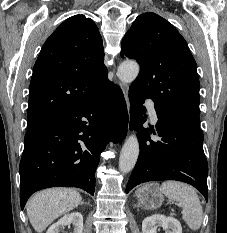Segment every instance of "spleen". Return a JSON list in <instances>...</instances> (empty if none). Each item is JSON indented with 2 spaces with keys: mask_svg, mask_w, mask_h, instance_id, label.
Here are the masks:
<instances>
[{
  "mask_svg": "<svg viewBox=\"0 0 227 233\" xmlns=\"http://www.w3.org/2000/svg\"><path fill=\"white\" fill-rule=\"evenodd\" d=\"M159 191L169 200L179 202L182 205L183 219L190 229L196 231L203 220V209L196 191L182 182L169 180L163 182Z\"/></svg>",
  "mask_w": 227,
  "mask_h": 233,
  "instance_id": "spleen-1",
  "label": "spleen"
}]
</instances>
